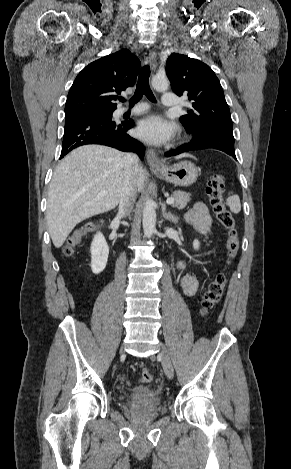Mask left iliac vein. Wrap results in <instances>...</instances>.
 <instances>
[{"mask_svg":"<svg viewBox=\"0 0 291 469\" xmlns=\"http://www.w3.org/2000/svg\"><path fill=\"white\" fill-rule=\"evenodd\" d=\"M160 357H161L162 366H163L166 376L169 379H172L174 377V369L171 363L169 353L163 344H161Z\"/></svg>","mask_w":291,"mask_h":469,"instance_id":"1","label":"left iliac vein"}]
</instances>
